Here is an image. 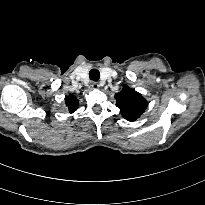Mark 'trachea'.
Wrapping results in <instances>:
<instances>
[{
	"label": "trachea",
	"instance_id": "1",
	"mask_svg": "<svg viewBox=\"0 0 205 205\" xmlns=\"http://www.w3.org/2000/svg\"><path fill=\"white\" fill-rule=\"evenodd\" d=\"M89 77L93 81H98L100 78V72L97 69H91L89 71Z\"/></svg>",
	"mask_w": 205,
	"mask_h": 205
}]
</instances>
